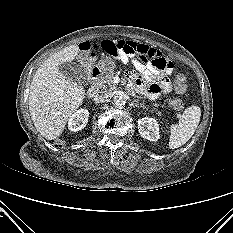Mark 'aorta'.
I'll return each mask as SVG.
<instances>
[{
    "mask_svg": "<svg viewBox=\"0 0 233 233\" xmlns=\"http://www.w3.org/2000/svg\"><path fill=\"white\" fill-rule=\"evenodd\" d=\"M125 98L121 95H116L114 96L113 100H112V104L116 107V108H123L125 106Z\"/></svg>",
    "mask_w": 233,
    "mask_h": 233,
    "instance_id": "1",
    "label": "aorta"
}]
</instances>
